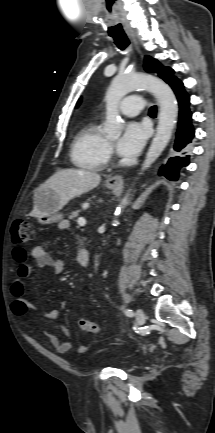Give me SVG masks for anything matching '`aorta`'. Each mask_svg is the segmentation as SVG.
Masks as SVG:
<instances>
[{
	"instance_id": "762f6f07",
	"label": "aorta",
	"mask_w": 215,
	"mask_h": 433,
	"mask_svg": "<svg viewBox=\"0 0 215 433\" xmlns=\"http://www.w3.org/2000/svg\"><path fill=\"white\" fill-rule=\"evenodd\" d=\"M136 89L151 91L160 107L159 123L156 135L149 147L142 165V171L148 169L160 156L167 146L177 121L178 105L176 97L163 80L147 74H125L116 76L106 93V122L104 130L111 138L121 135L123 125L119 115L118 106L120 100L129 92ZM129 194L123 199L122 205L127 203ZM121 207H118L115 215H119ZM114 223L117 221L114 220Z\"/></svg>"
}]
</instances>
